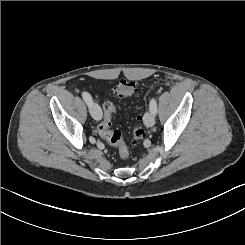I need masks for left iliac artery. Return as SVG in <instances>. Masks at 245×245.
Wrapping results in <instances>:
<instances>
[{
	"label": "left iliac artery",
	"instance_id": "44dca946",
	"mask_svg": "<svg viewBox=\"0 0 245 245\" xmlns=\"http://www.w3.org/2000/svg\"><path fill=\"white\" fill-rule=\"evenodd\" d=\"M149 108L152 113H157V102L154 97L150 100Z\"/></svg>",
	"mask_w": 245,
	"mask_h": 245
}]
</instances>
